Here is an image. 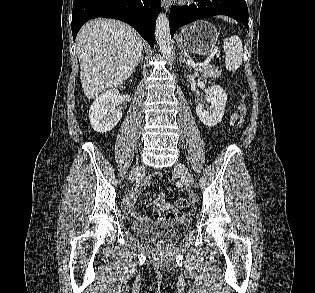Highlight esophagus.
<instances>
[{
	"instance_id": "obj_1",
	"label": "esophagus",
	"mask_w": 315,
	"mask_h": 293,
	"mask_svg": "<svg viewBox=\"0 0 315 293\" xmlns=\"http://www.w3.org/2000/svg\"><path fill=\"white\" fill-rule=\"evenodd\" d=\"M161 3H162V7L166 10V11H168L169 10V8H170V1L169 0H161Z\"/></svg>"
}]
</instances>
